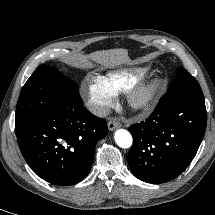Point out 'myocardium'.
I'll list each match as a JSON object with an SVG mask.
<instances>
[{
  "label": "myocardium",
  "instance_id": "obj_1",
  "mask_svg": "<svg viewBox=\"0 0 215 215\" xmlns=\"http://www.w3.org/2000/svg\"><path fill=\"white\" fill-rule=\"evenodd\" d=\"M161 88L162 81L159 78L133 86L127 90L126 103L133 112L145 113L153 107Z\"/></svg>",
  "mask_w": 215,
  "mask_h": 215
}]
</instances>
